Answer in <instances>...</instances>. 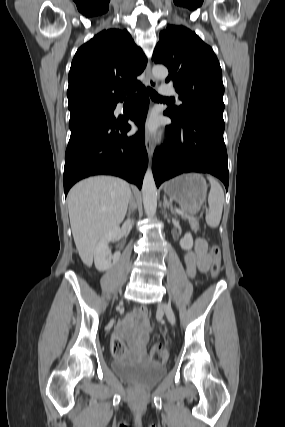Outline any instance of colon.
I'll return each instance as SVG.
<instances>
[{
  "label": "colon",
  "instance_id": "5ec220e1",
  "mask_svg": "<svg viewBox=\"0 0 285 427\" xmlns=\"http://www.w3.org/2000/svg\"><path fill=\"white\" fill-rule=\"evenodd\" d=\"M211 266L210 274L216 278L221 269V250L218 245H213L210 249ZM112 352L119 359H125L127 355V348L124 342L119 338H113ZM151 358L157 364H163L167 358V353L162 344L156 343L151 349Z\"/></svg>",
  "mask_w": 285,
  "mask_h": 427
}]
</instances>
